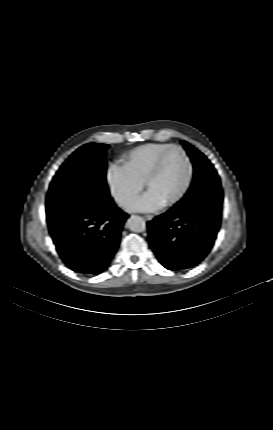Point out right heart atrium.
<instances>
[{
    "label": "right heart atrium",
    "instance_id": "d8ad5b80",
    "mask_svg": "<svg viewBox=\"0 0 273 430\" xmlns=\"http://www.w3.org/2000/svg\"><path fill=\"white\" fill-rule=\"evenodd\" d=\"M106 182L115 202L120 207H127L142 191L144 183L138 180L119 162H112L106 170Z\"/></svg>",
    "mask_w": 273,
    "mask_h": 430
}]
</instances>
